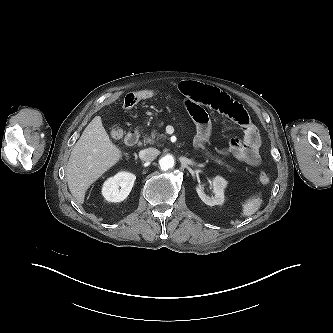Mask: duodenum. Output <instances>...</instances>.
Segmentation results:
<instances>
[{
    "label": "duodenum",
    "mask_w": 333,
    "mask_h": 333,
    "mask_svg": "<svg viewBox=\"0 0 333 333\" xmlns=\"http://www.w3.org/2000/svg\"><path fill=\"white\" fill-rule=\"evenodd\" d=\"M140 138L139 132L137 130H131L125 136V143L128 146H134L138 143Z\"/></svg>",
    "instance_id": "obj_1"
}]
</instances>
